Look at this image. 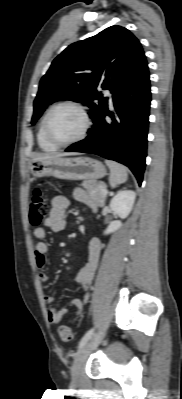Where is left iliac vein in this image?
<instances>
[{
  "label": "left iliac vein",
  "instance_id": "4c4485c4",
  "mask_svg": "<svg viewBox=\"0 0 182 399\" xmlns=\"http://www.w3.org/2000/svg\"><path fill=\"white\" fill-rule=\"evenodd\" d=\"M103 335V332H99L78 351L71 368V376L73 380H79L83 364L85 363L89 354L98 346Z\"/></svg>",
  "mask_w": 182,
  "mask_h": 399
}]
</instances>
